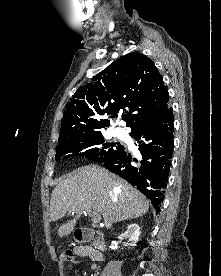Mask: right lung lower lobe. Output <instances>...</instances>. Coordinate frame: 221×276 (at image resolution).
Listing matches in <instances>:
<instances>
[{"label": "right lung lower lobe", "instance_id": "obj_1", "mask_svg": "<svg viewBox=\"0 0 221 276\" xmlns=\"http://www.w3.org/2000/svg\"><path fill=\"white\" fill-rule=\"evenodd\" d=\"M173 110L169 108L150 122L132 128L131 137L137 140L140 158H131L123 150L103 165L124 178L151 200L160 212L171 166L174 147Z\"/></svg>", "mask_w": 221, "mask_h": 276}]
</instances>
